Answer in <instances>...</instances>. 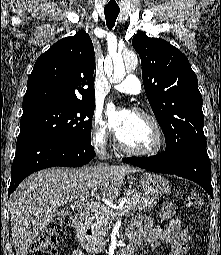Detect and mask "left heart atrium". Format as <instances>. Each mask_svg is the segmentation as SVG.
I'll use <instances>...</instances> for the list:
<instances>
[{
  "mask_svg": "<svg viewBox=\"0 0 221 255\" xmlns=\"http://www.w3.org/2000/svg\"><path fill=\"white\" fill-rule=\"evenodd\" d=\"M130 112L127 110H118L113 107L108 109L109 124L112 130L118 134L126 126L130 118Z\"/></svg>",
  "mask_w": 221,
  "mask_h": 255,
  "instance_id": "1",
  "label": "left heart atrium"
}]
</instances>
